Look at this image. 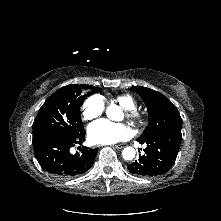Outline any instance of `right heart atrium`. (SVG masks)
Instances as JSON below:
<instances>
[{
  "mask_svg": "<svg viewBox=\"0 0 221 221\" xmlns=\"http://www.w3.org/2000/svg\"><path fill=\"white\" fill-rule=\"evenodd\" d=\"M104 107L103 98L99 95H92L84 101L81 107L82 118L86 121L94 120L102 115Z\"/></svg>",
  "mask_w": 221,
  "mask_h": 221,
  "instance_id": "right-heart-atrium-1",
  "label": "right heart atrium"
}]
</instances>
